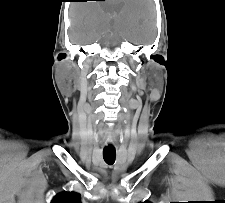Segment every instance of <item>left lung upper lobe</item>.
<instances>
[{
    "label": "left lung upper lobe",
    "instance_id": "left-lung-upper-lobe-1",
    "mask_svg": "<svg viewBox=\"0 0 225 203\" xmlns=\"http://www.w3.org/2000/svg\"><path fill=\"white\" fill-rule=\"evenodd\" d=\"M141 203H151V202L145 201V202H141Z\"/></svg>",
    "mask_w": 225,
    "mask_h": 203
}]
</instances>
